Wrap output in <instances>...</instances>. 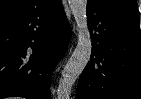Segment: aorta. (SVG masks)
<instances>
[{"label":"aorta","instance_id":"1","mask_svg":"<svg viewBox=\"0 0 141 99\" xmlns=\"http://www.w3.org/2000/svg\"><path fill=\"white\" fill-rule=\"evenodd\" d=\"M68 2L75 18L78 42L59 80L58 99H69L71 88L89 62L92 52V42L86 15L87 0H68Z\"/></svg>","mask_w":141,"mask_h":99}]
</instances>
